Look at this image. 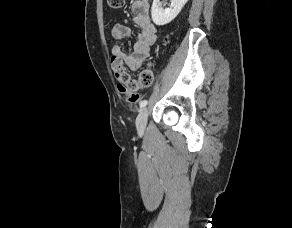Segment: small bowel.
Instances as JSON below:
<instances>
[{
  "label": "small bowel",
  "mask_w": 292,
  "mask_h": 228,
  "mask_svg": "<svg viewBox=\"0 0 292 228\" xmlns=\"http://www.w3.org/2000/svg\"><path fill=\"white\" fill-rule=\"evenodd\" d=\"M133 22L139 28L137 39L131 53H127L121 44L112 47L111 65L121 64L126 70H138L149 56L151 48L157 39V28L150 18L149 0H133L131 5ZM112 35L120 40L131 35V28L123 23H116Z\"/></svg>",
  "instance_id": "1"
}]
</instances>
